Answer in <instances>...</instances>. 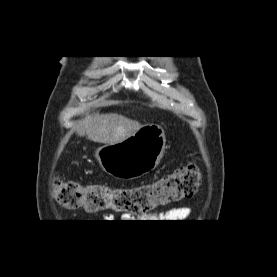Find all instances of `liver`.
Instances as JSON below:
<instances>
[{"label":"liver","mask_w":277,"mask_h":277,"mask_svg":"<svg viewBox=\"0 0 277 277\" xmlns=\"http://www.w3.org/2000/svg\"><path fill=\"white\" fill-rule=\"evenodd\" d=\"M143 127L138 121L118 114L87 115L76 127L78 136L87 135L89 140L104 144H116Z\"/></svg>","instance_id":"liver-1"}]
</instances>
